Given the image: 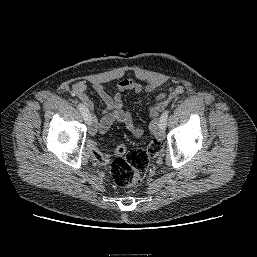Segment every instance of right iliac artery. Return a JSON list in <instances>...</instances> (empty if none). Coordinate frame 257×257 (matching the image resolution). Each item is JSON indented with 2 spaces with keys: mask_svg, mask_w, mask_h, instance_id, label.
<instances>
[{
  "mask_svg": "<svg viewBox=\"0 0 257 257\" xmlns=\"http://www.w3.org/2000/svg\"><path fill=\"white\" fill-rule=\"evenodd\" d=\"M78 109L82 113L85 120H87L90 117V112L85 105H83L82 103H79Z\"/></svg>",
  "mask_w": 257,
  "mask_h": 257,
  "instance_id": "right-iliac-artery-1",
  "label": "right iliac artery"
}]
</instances>
